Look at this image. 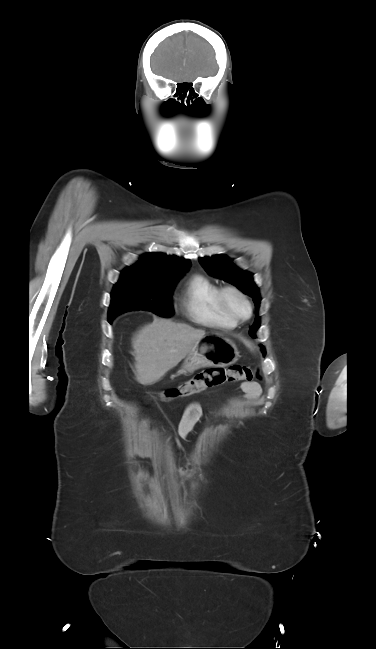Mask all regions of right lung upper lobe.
I'll return each mask as SVG.
<instances>
[{
	"mask_svg": "<svg viewBox=\"0 0 376 649\" xmlns=\"http://www.w3.org/2000/svg\"><path fill=\"white\" fill-rule=\"evenodd\" d=\"M190 265V260L176 256H168L164 253H147L141 256V260L132 267L148 275L161 276L187 271Z\"/></svg>",
	"mask_w": 376,
	"mask_h": 649,
	"instance_id": "1",
	"label": "right lung upper lobe"
}]
</instances>
